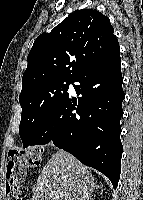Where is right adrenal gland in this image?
Returning a JSON list of instances; mask_svg holds the SVG:
<instances>
[{"label":"right adrenal gland","instance_id":"obj_1","mask_svg":"<svg viewBox=\"0 0 143 200\" xmlns=\"http://www.w3.org/2000/svg\"><path fill=\"white\" fill-rule=\"evenodd\" d=\"M98 187H99V185H97V188H98ZM85 200H91V198L88 197V198H86Z\"/></svg>","mask_w":143,"mask_h":200}]
</instances>
